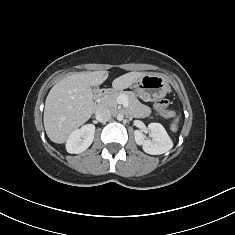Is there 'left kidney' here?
Masks as SVG:
<instances>
[{"label":"left kidney","mask_w":235,"mask_h":235,"mask_svg":"<svg viewBox=\"0 0 235 235\" xmlns=\"http://www.w3.org/2000/svg\"><path fill=\"white\" fill-rule=\"evenodd\" d=\"M148 128L151 131L152 140L145 139V135L139 130L134 132L135 141L142 146L144 152L151 155H160L173 147L172 140L160 123H150Z\"/></svg>","instance_id":"obj_1"}]
</instances>
